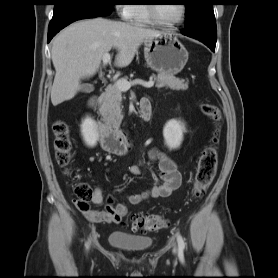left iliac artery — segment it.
<instances>
[{"instance_id":"1","label":"left iliac artery","mask_w":278,"mask_h":278,"mask_svg":"<svg viewBox=\"0 0 278 278\" xmlns=\"http://www.w3.org/2000/svg\"><path fill=\"white\" fill-rule=\"evenodd\" d=\"M177 242H178L179 251L183 252L185 248V242L183 237L179 233H177Z\"/></svg>"}]
</instances>
